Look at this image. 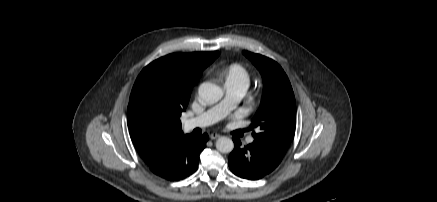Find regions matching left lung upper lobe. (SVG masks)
<instances>
[{
  "label": "left lung upper lobe",
  "instance_id": "left-lung-upper-lobe-1",
  "mask_svg": "<svg viewBox=\"0 0 437 202\" xmlns=\"http://www.w3.org/2000/svg\"><path fill=\"white\" fill-rule=\"evenodd\" d=\"M262 75L261 105L252 119L254 143L281 161L295 134L296 102L290 81L281 66L265 56L243 51Z\"/></svg>",
  "mask_w": 437,
  "mask_h": 202
}]
</instances>
